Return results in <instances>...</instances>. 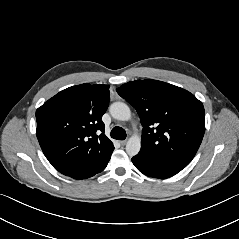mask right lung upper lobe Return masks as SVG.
<instances>
[{"label":"right lung upper lobe","instance_id":"right-lung-upper-lobe-1","mask_svg":"<svg viewBox=\"0 0 239 239\" xmlns=\"http://www.w3.org/2000/svg\"><path fill=\"white\" fill-rule=\"evenodd\" d=\"M109 101V85L85 83L60 91L37 109L39 144L59 172L78 179L110 159L114 146L101 120Z\"/></svg>","mask_w":239,"mask_h":239}]
</instances>
